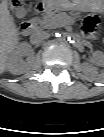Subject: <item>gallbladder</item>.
Returning a JSON list of instances; mask_svg holds the SVG:
<instances>
[{"label": "gallbladder", "mask_w": 104, "mask_h": 137, "mask_svg": "<svg viewBox=\"0 0 104 137\" xmlns=\"http://www.w3.org/2000/svg\"><path fill=\"white\" fill-rule=\"evenodd\" d=\"M14 13L17 17L22 18L26 15V9L23 6H21L16 8Z\"/></svg>", "instance_id": "obj_1"}]
</instances>
